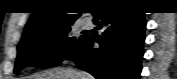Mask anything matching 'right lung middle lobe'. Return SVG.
<instances>
[{"mask_svg":"<svg viewBox=\"0 0 177 79\" xmlns=\"http://www.w3.org/2000/svg\"><path fill=\"white\" fill-rule=\"evenodd\" d=\"M71 24L45 28L23 37L18 45L14 72L26 66L53 67L59 65L79 45L84 35L68 37Z\"/></svg>","mask_w":177,"mask_h":79,"instance_id":"right-lung-middle-lobe-1","label":"right lung middle lobe"}]
</instances>
